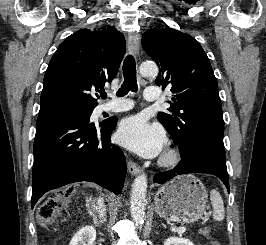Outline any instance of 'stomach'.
Returning <instances> with one entry per match:
<instances>
[{
    "mask_svg": "<svg viewBox=\"0 0 266 245\" xmlns=\"http://www.w3.org/2000/svg\"><path fill=\"white\" fill-rule=\"evenodd\" d=\"M207 199V191L197 177L181 175L157 191L155 211L167 221L193 223L203 215Z\"/></svg>",
    "mask_w": 266,
    "mask_h": 245,
    "instance_id": "1",
    "label": "stomach"
}]
</instances>
